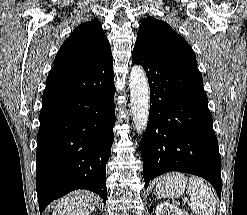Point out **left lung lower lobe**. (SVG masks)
Wrapping results in <instances>:
<instances>
[{
	"label": "left lung lower lobe",
	"instance_id": "1",
	"mask_svg": "<svg viewBox=\"0 0 247 215\" xmlns=\"http://www.w3.org/2000/svg\"><path fill=\"white\" fill-rule=\"evenodd\" d=\"M150 86V117L141 139L145 188L170 171L201 176L221 198V156L202 75L196 67L165 62L134 48Z\"/></svg>",
	"mask_w": 247,
	"mask_h": 215
}]
</instances>
